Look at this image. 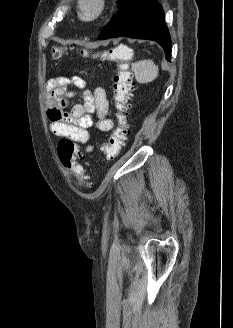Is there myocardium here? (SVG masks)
Masks as SVG:
<instances>
[{
    "label": "myocardium",
    "mask_w": 233,
    "mask_h": 328,
    "mask_svg": "<svg viewBox=\"0 0 233 328\" xmlns=\"http://www.w3.org/2000/svg\"><path fill=\"white\" fill-rule=\"evenodd\" d=\"M93 4V10L88 13L87 5ZM106 0H78V15L79 18L86 23H92L102 17L106 10Z\"/></svg>",
    "instance_id": "myocardium-1"
}]
</instances>
